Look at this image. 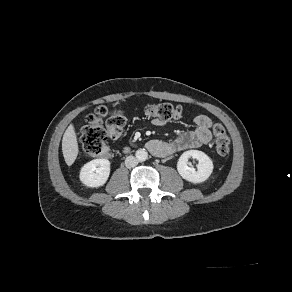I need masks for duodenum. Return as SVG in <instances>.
I'll return each mask as SVG.
<instances>
[{"label": "duodenum", "instance_id": "410a0bca", "mask_svg": "<svg viewBox=\"0 0 292 292\" xmlns=\"http://www.w3.org/2000/svg\"><path fill=\"white\" fill-rule=\"evenodd\" d=\"M125 151L127 152L128 151V148H126Z\"/></svg>", "mask_w": 292, "mask_h": 292}]
</instances>
